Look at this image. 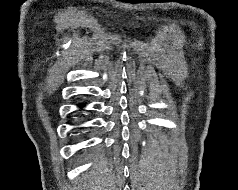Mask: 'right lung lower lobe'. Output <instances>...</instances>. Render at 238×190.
<instances>
[{
    "label": "right lung lower lobe",
    "mask_w": 238,
    "mask_h": 190,
    "mask_svg": "<svg viewBox=\"0 0 238 190\" xmlns=\"http://www.w3.org/2000/svg\"><path fill=\"white\" fill-rule=\"evenodd\" d=\"M78 106H79L80 108H82L84 105H83L82 103H80Z\"/></svg>",
    "instance_id": "98d812e1"
}]
</instances>
